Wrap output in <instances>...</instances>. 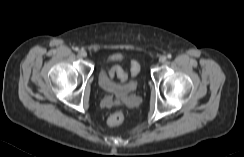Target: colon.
I'll use <instances>...</instances> for the list:
<instances>
[{
    "label": "colon",
    "instance_id": "5ec220e1",
    "mask_svg": "<svg viewBox=\"0 0 244 157\" xmlns=\"http://www.w3.org/2000/svg\"><path fill=\"white\" fill-rule=\"evenodd\" d=\"M140 71L139 63L134 60L131 63V73L132 75H137ZM107 73L110 77L116 76L120 82H125L127 80L126 72L119 66L107 67ZM124 120V113L122 111H116L111 114L107 119V124L111 127L120 125Z\"/></svg>",
    "mask_w": 244,
    "mask_h": 157
}]
</instances>
